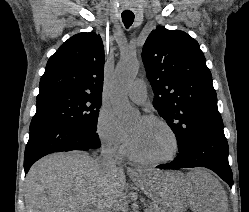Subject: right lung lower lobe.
<instances>
[{
	"mask_svg": "<svg viewBox=\"0 0 249 212\" xmlns=\"http://www.w3.org/2000/svg\"><path fill=\"white\" fill-rule=\"evenodd\" d=\"M100 147L96 132L65 124L37 126L30 131L24 156V170L43 156L62 151H93Z\"/></svg>",
	"mask_w": 249,
	"mask_h": 212,
	"instance_id": "98d812e1",
	"label": "right lung lower lobe"
}]
</instances>
